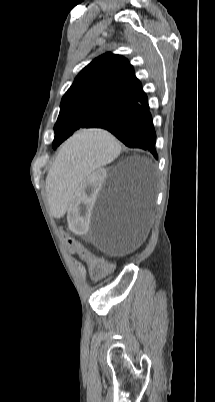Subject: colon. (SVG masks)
I'll return each mask as SVG.
<instances>
[{
  "instance_id": "1",
  "label": "colon",
  "mask_w": 215,
  "mask_h": 402,
  "mask_svg": "<svg viewBox=\"0 0 215 402\" xmlns=\"http://www.w3.org/2000/svg\"><path fill=\"white\" fill-rule=\"evenodd\" d=\"M59 230L64 228L62 223L57 225ZM57 237L61 238L63 243H67L68 246L66 251L68 253L78 254L79 260H91L93 248L91 246L80 245L77 239H72L71 234L69 232L58 231ZM113 269V265L103 259H101V253H96V258H93L92 262V274L95 278H100L105 275L107 272Z\"/></svg>"
}]
</instances>
